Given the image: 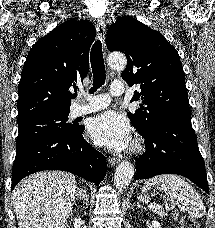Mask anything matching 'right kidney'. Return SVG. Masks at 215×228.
Listing matches in <instances>:
<instances>
[{"label": "right kidney", "mask_w": 215, "mask_h": 228, "mask_svg": "<svg viewBox=\"0 0 215 228\" xmlns=\"http://www.w3.org/2000/svg\"><path fill=\"white\" fill-rule=\"evenodd\" d=\"M65 228H70V226H65Z\"/></svg>", "instance_id": "ca27d5eb"}]
</instances>
